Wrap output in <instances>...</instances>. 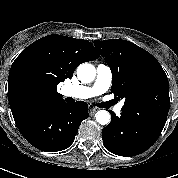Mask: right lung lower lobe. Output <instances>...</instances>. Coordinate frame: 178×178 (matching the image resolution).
<instances>
[{
	"label": "right lung lower lobe",
	"instance_id": "right-lung-lower-lobe-1",
	"mask_svg": "<svg viewBox=\"0 0 178 178\" xmlns=\"http://www.w3.org/2000/svg\"><path fill=\"white\" fill-rule=\"evenodd\" d=\"M88 116L87 103H65L62 99L28 107L14 116V120L31 145L42 151L57 152L73 143L81 122Z\"/></svg>",
	"mask_w": 178,
	"mask_h": 178
}]
</instances>
